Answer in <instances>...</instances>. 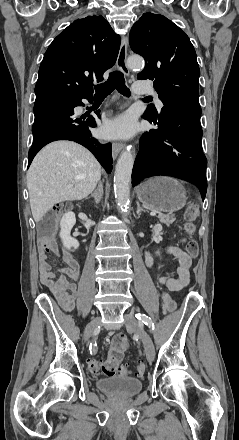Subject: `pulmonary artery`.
Masks as SVG:
<instances>
[{
    "mask_svg": "<svg viewBox=\"0 0 239 440\" xmlns=\"http://www.w3.org/2000/svg\"><path fill=\"white\" fill-rule=\"evenodd\" d=\"M132 90H133L135 93H137V94H143V93H146V92L148 91L147 89L143 88V87L140 85L139 82L133 84V86H132ZM157 105H158V108H159V110H160V109L162 108V106H163V103L161 102V100H158V101H157Z\"/></svg>",
    "mask_w": 239,
    "mask_h": 440,
    "instance_id": "e3ab8cb5",
    "label": "pulmonary artery"
}]
</instances>
